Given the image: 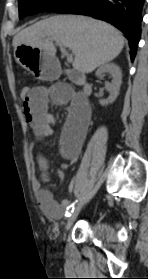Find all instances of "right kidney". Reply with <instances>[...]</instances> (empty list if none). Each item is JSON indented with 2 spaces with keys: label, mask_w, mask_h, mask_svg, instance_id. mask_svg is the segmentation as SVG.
<instances>
[{
  "label": "right kidney",
  "mask_w": 148,
  "mask_h": 279,
  "mask_svg": "<svg viewBox=\"0 0 148 279\" xmlns=\"http://www.w3.org/2000/svg\"><path fill=\"white\" fill-rule=\"evenodd\" d=\"M105 73L111 74L112 82L106 84V89L110 92V96L106 100L99 101L102 106L111 104L116 100L122 83V74L118 65L114 63H106L96 71V76L100 77Z\"/></svg>",
  "instance_id": "obj_1"
}]
</instances>
